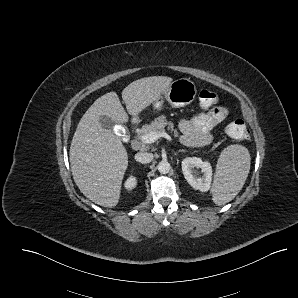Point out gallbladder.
<instances>
[{
  "instance_id": "bac80fb5",
  "label": "gallbladder",
  "mask_w": 298,
  "mask_h": 298,
  "mask_svg": "<svg viewBox=\"0 0 298 298\" xmlns=\"http://www.w3.org/2000/svg\"><path fill=\"white\" fill-rule=\"evenodd\" d=\"M99 122L105 129L113 130L115 127V122L106 115L101 116Z\"/></svg>"
}]
</instances>
